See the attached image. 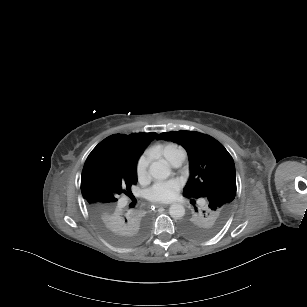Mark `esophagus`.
I'll use <instances>...</instances> for the list:
<instances>
[{"label":"esophagus","instance_id":"esophagus-1","mask_svg":"<svg viewBox=\"0 0 307 307\" xmlns=\"http://www.w3.org/2000/svg\"><path fill=\"white\" fill-rule=\"evenodd\" d=\"M153 206H154L155 208H160V207H163L164 205L154 203Z\"/></svg>","mask_w":307,"mask_h":307}]
</instances>
